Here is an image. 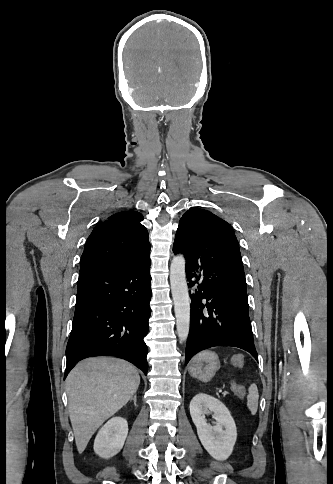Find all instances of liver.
Returning a JSON list of instances; mask_svg holds the SVG:
<instances>
[{
    "instance_id": "1",
    "label": "liver",
    "mask_w": 333,
    "mask_h": 484,
    "mask_svg": "<svg viewBox=\"0 0 333 484\" xmlns=\"http://www.w3.org/2000/svg\"><path fill=\"white\" fill-rule=\"evenodd\" d=\"M140 376L134 366L117 358H89L66 379L69 416L77 450L82 453L102 423L136 393Z\"/></svg>"
}]
</instances>
